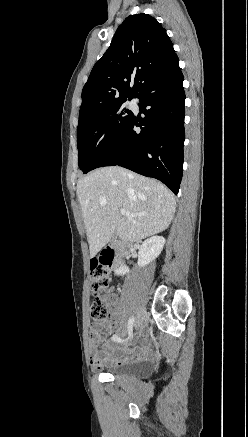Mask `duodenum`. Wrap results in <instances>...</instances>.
Segmentation results:
<instances>
[{"mask_svg": "<svg viewBox=\"0 0 248 437\" xmlns=\"http://www.w3.org/2000/svg\"><path fill=\"white\" fill-rule=\"evenodd\" d=\"M127 252V248L124 244H117L107 248H100V257H106L112 264L118 259L123 257Z\"/></svg>", "mask_w": 248, "mask_h": 437, "instance_id": "duodenum-1", "label": "duodenum"}]
</instances>
